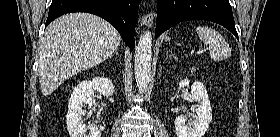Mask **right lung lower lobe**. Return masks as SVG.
I'll use <instances>...</instances> for the list:
<instances>
[{
  "label": "right lung lower lobe",
  "instance_id": "1",
  "mask_svg": "<svg viewBox=\"0 0 280 137\" xmlns=\"http://www.w3.org/2000/svg\"><path fill=\"white\" fill-rule=\"evenodd\" d=\"M141 0H52L45 27L59 16L71 12H87L107 20L121 34L132 50L134 31Z\"/></svg>",
  "mask_w": 280,
  "mask_h": 137
}]
</instances>
